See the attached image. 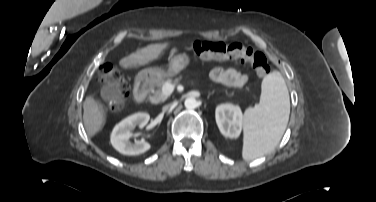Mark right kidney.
<instances>
[{
  "mask_svg": "<svg viewBox=\"0 0 376 202\" xmlns=\"http://www.w3.org/2000/svg\"><path fill=\"white\" fill-rule=\"evenodd\" d=\"M150 120V115L144 112H137L132 114L121 122H119L113 129L110 141L112 146L121 154L124 155H140L148 151L151 145L144 140H137L134 143L129 141L132 136L131 130L136 126L143 128Z\"/></svg>",
  "mask_w": 376,
  "mask_h": 202,
  "instance_id": "ca27d5eb",
  "label": "right kidney"
}]
</instances>
